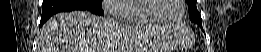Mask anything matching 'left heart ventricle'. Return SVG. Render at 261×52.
<instances>
[{
    "label": "left heart ventricle",
    "mask_w": 261,
    "mask_h": 52,
    "mask_svg": "<svg viewBox=\"0 0 261 52\" xmlns=\"http://www.w3.org/2000/svg\"><path fill=\"white\" fill-rule=\"evenodd\" d=\"M157 8L153 11V15L165 20H174L180 14V5L178 0H157Z\"/></svg>",
    "instance_id": "obj_1"
}]
</instances>
